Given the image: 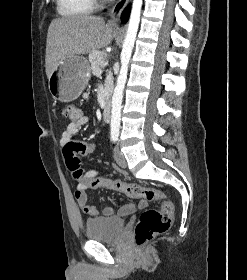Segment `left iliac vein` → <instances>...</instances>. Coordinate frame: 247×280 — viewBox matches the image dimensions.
Returning a JSON list of instances; mask_svg holds the SVG:
<instances>
[{
	"label": "left iliac vein",
	"mask_w": 247,
	"mask_h": 280,
	"mask_svg": "<svg viewBox=\"0 0 247 280\" xmlns=\"http://www.w3.org/2000/svg\"><path fill=\"white\" fill-rule=\"evenodd\" d=\"M114 158L120 167L125 168L127 166V161L118 146L114 149Z\"/></svg>",
	"instance_id": "left-iliac-vein-1"
}]
</instances>
